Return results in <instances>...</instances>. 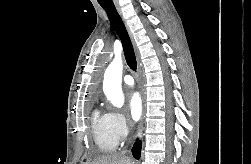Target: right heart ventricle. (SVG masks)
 Here are the masks:
<instances>
[{"instance_id": "obj_1", "label": "right heart ventricle", "mask_w": 251, "mask_h": 164, "mask_svg": "<svg viewBox=\"0 0 251 164\" xmlns=\"http://www.w3.org/2000/svg\"><path fill=\"white\" fill-rule=\"evenodd\" d=\"M94 142L101 153H111L118 145V139L112 131L109 113L94 110L91 116Z\"/></svg>"}]
</instances>
